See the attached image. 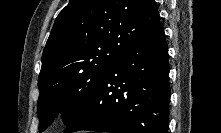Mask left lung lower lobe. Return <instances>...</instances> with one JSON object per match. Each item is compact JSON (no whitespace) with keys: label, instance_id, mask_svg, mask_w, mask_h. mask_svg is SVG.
<instances>
[{"label":"left lung lower lobe","instance_id":"1","mask_svg":"<svg viewBox=\"0 0 221 133\" xmlns=\"http://www.w3.org/2000/svg\"><path fill=\"white\" fill-rule=\"evenodd\" d=\"M169 99L168 48L158 21L108 68L64 132L167 133Z\"/></svg>","mask_w":221,"mask_h":133}]
</instances>
